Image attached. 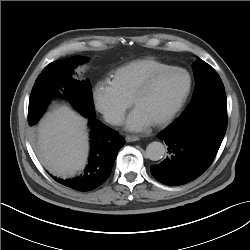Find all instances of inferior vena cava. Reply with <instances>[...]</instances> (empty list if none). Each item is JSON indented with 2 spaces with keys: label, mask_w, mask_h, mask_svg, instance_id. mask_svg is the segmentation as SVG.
Listing matches in <instances>:
<instances>
[{
  "label": "inferior vena cava",
  "mask_w": 250,
  "mask_h": 250,
  "mask_svg": "<svg viewBox=\"0 0 250 250\" xmlns=\"http://www.w3.org/2000/svg\"><path fill=\"white\" fill-rule=\"evenodd\" d=\"M123 120H124V116L122 114L116 113V112L109 113L106 116V121L111 123V124H114V125L122 124Z\"/></svg>",
  "instance_id": "1"
}]
</instances>
